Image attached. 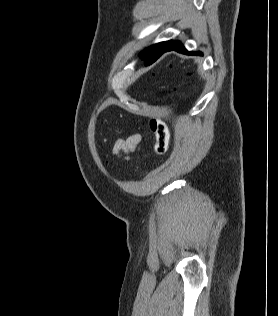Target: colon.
Returning <instances> with one entry per match:
<instances>
[{
	"label": "colon",
	"mask_w": 278,
	"mask_h": 316,
	"mask_svg": "<svg viewBox=\"0 0 278 316\" xmlns=\"http://www.w3.org/2000/svg\"><path fill=\"white\" fill-rule=\"evenodd\" d=\"M149 127L155 136L154 151L157 156L165 154L169 144V130L166 124L157 118L149 120Z\"/></svg>",
	"instance_id": "5ec220e1"
}]
</instances>
